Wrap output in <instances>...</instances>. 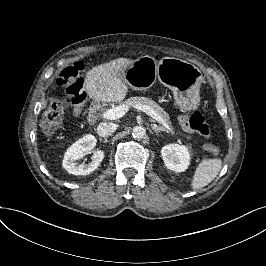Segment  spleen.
I'll use <instances>...</instances> for the list:
<instances>
[{
    "label": "spleen",
    "mask_w": 266,
    "mask_h": 266,
    "mask_svg": "<svg viewBox=\"0 0 266 266\" xmlns=\"http://www.w3.org/2000/svg\"><path fill=\"white\" fill-rule=\"evenodd\" d=\"M221 167V158H203L195 168L190 187L193 190H197L207 186L218 175Z\"/></svg>",
    "instance_id": "3e777b00"
}]
</instances>
